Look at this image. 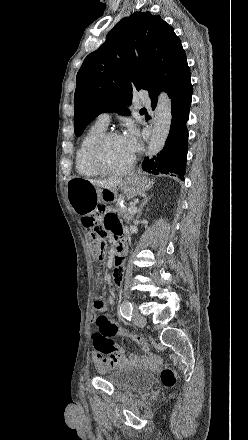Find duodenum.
Returning <instances> with one entry per match:
<instances>
[{"instance_id":"410a0bca","label":"duodenum","mask_w":248,"mask_h":440,"mask_svg":"<svg viewBox=\"0 0 248 440\" xmlns=\"http://www.w3.org/2000/svg\"><path fill=\"white\" fill-rule=\"evenodd\" d=\"M126 253V245L123 241H119L116 246V257H123Z\"/></svg>"}]
</instances>
